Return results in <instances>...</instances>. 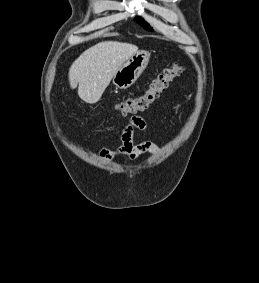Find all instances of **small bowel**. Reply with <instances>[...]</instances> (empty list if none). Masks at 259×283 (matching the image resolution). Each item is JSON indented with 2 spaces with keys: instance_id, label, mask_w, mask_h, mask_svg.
<instances>
[{
  "instance_id": "1",
  "label": "small bowel",
  "mask_w": 259,
  "mask_h": 283,
  "mask_svg": "<svg viewBox=\"0 0 259 283\" xmlns=\"http://www.w3.org/2000/svg\"><path fill=\"white\" fill-rule=\"evenodd\" d=\"M147 128L146 121L140 116L130 118L128 124L123 129L121 134L122 144L117 150L103 148L98 152V156L105 160L111 161L116 156H124L130 160H135L140 155L150 154L156 155L159 153L158 146L152 141H143L140 143L133 142L135 130H145Z\"/></svg>"
}]
</instances>
